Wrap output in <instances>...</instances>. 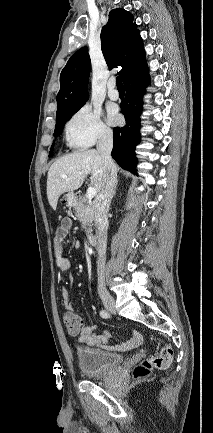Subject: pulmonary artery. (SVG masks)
<instances>
[{"mask_svg": "<svg viewBox=\"0 0 213 433\" xmlns=\"http://www.w3.org/2000/svg\"><path fill=\"white\" fill-rule=\"evenodd\" d=\"M107 95L111 100H117L119 98V93L115 87V81L110 80L107 84Z\"/></svg>", "mask_w": 213, "mask_h": 433, "instance_id": "pulmonary-artery-1", "label": "pulmonary artery"}]
</instances>
